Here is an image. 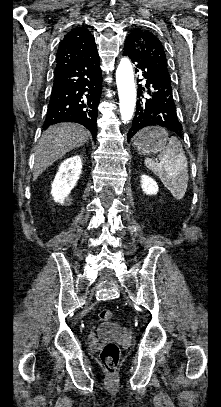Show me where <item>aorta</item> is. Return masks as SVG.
Listing matches in <instances>:
<instances>
[{"label": "aorta", "mask_w": 221, "mask_h": 407, "mask_svg": "<svg viewBox=\"0 0 221 407\" xmlns=\"http://www.w3.org/2000/svg\"><path fill=\"white\" fill-rule=\"evenodd\" d=\"M116 82L121 119L123 123H128L132 119L136 103L133 68L128 58L121 59L116 70Z\"/></svg>", "instance_id": "1"}]
</instances>
